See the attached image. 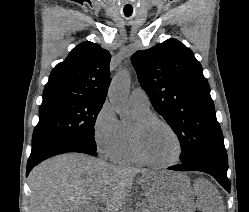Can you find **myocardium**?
<instances>
[{"instance_id": "1", "label": "myocardium", "mask_w": 249, "mask_h": 212, "mask_svg": "<svg viewBox=\"0 0 249 212\" xmlns=\"http://www.w3.org/2000/svg\"><path fill=\"white\" fill-rule=\"evenodd\" d=\"M153 125H160L167 129L176 139L178 143V156L177 158L169 163H158L150 160L142 151L141 145H140V133L144 129L153 126ZM129 136H130V143L133 150V153L136 157V159L149 167L153 168H159V169H166V168H172L178 165L184 155V145L182 142L181 137L177 133V131L166 121L156 117V116H148L143 118H138L137 121L130 127L129 130Z\"/></svg>"}]
</instances>
